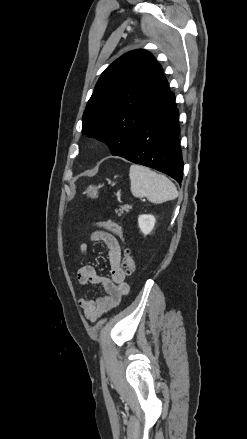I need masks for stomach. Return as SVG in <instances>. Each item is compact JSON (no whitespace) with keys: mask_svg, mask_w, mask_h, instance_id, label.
<instances>
[{"mask_svg":"<svg viewBox=\"0 0 247 439\" xmlns=\"http://www.w3.org/2000/svg\"><path fill=\"white\" fill-rule=\"evenodd\" d=\"M98 190H99V187L90 185L84 193L87 194V196H89L90 198H97L98 197Z\"/></svg>","mask_w":247,"mask_h":439,"instance_id":"1","label":"stomach"}]
</instances>
